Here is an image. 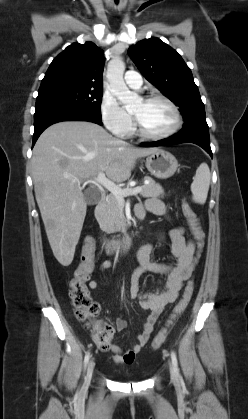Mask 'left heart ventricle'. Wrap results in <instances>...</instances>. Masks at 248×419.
<instances>
[{
  "label": "left heart ventricle",
  "mask_w": 248,
  "mask_h": 419,
  "mask_svg": "<svg viewBox=\"0 0 248 419\" xmlns=\"http://www.w3.org/2000/svg\"><path fill=\"white\" fill-rule=\"evenodd\" d=\"M131 113L140 121L143 129L151 134L168 131L174 124V114L162 101L145 102L140 100Z\"/></svg>",
  "instance_id": "obj_1"
}]
</instances>
